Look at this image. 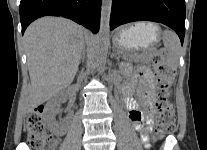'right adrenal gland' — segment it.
I'll use <instances>...</instances> for the list:
<instances>
[{"mask_svg":"<svg viewBox=\"0 0 207 150\" xmlns=\"http://www.w3.org/2000/svg\"><path fill=\"white\" fill-rule=\"evenodd\" d=\"M85 52H86V45L84 44L79 63L84 61V59H85Z\"/></svg>","mask_w":207,"mask_h":150,"instance_id":"right-adrenal-gland-1","label":"right adrenal gland"}]
</instances>
